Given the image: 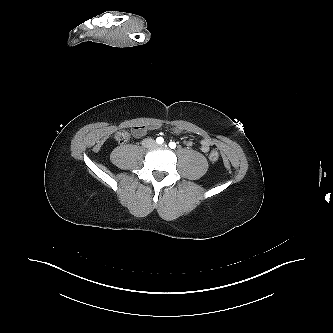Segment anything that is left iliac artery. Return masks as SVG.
Returning a JSON list of instances; mask_svg holds the SVG:
<instances>
[{
  "mask_svg": "<svg viewBox=\"0 0 333 333\" xmlns=\"http://www.w3.org/2000/svg\"><path fill=\"white\" fill-rule=\"evenodd\" d=\"M169 147H170L171 149H175V148H176V143L171 141V142L169 143Z\"/></svg>",
  "mask_w": 333,
  "mask_h": 333,
  "instance_id": "left-iliac-artery-1",
  "label": "left iliac artery"
}]
</instances>
